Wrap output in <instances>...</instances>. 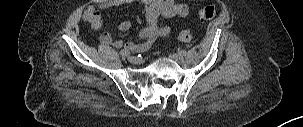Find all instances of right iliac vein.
I'll return each mask as SVG.
<instances>
[{
  "label": "right iliac vein",
  "instance_id": "63e3f726",
  "mask_svg": "<svg viewBox=\"0 0 303 127\" xmlns=\"http://www.w3.org/2000/svg\"><path fill=\"white\" fill-rule=\"evenodd\" d=\"M128 61L133 64H138L140 62V59L136 56H129Z\"/></svg>",
  "mask_w": 303,
  "mask_h": 127
}]
</instances>
